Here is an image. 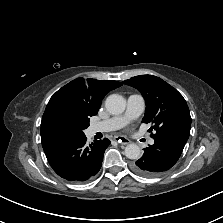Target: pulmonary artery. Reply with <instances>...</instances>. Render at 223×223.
I'll use <instances>...</instances> for the list:
<instances>
[{"label": "pulmonary artery", "mask_w": 223, "mask_h": 223, "mask_svg": "<svg viewBox=\"0 0 223 223\" xmlns=\"http://www.w3.org/2000/svg\"><path fill=\"white\" fill-rule=\"evenodd\" d=\"M144 98L139 94L129 95L127 98L126 110L122 115L114 116L104 121L96 122L90 125L89 132L95 134L98 132H109L118 130L128 124L130 121L138 118L144 110ZM150 145L154 144L153 139H149Z\"/></svg>", "instance_id": "1"}]
</instances>
